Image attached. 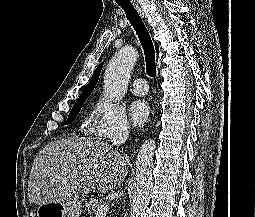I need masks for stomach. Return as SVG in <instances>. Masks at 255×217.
I'll return each mask as SVG.
<instances>
[{
  "label": "stomach",
  "instance_id": "0dacf381",
  "mask_svg": "<svg viewBox=\"0 0 255 217\" xmlns=\"http://www.w3.org/2000/svg\"><path fill=\"white\" fill-rule=\"evenodd\" d=\"M83 205L78 199L64 202H49L36 210L37 217H79L82 213Z\"/></svg>",
  "mask_w": 255,
  "mask_h": 217
}]
</instances>
